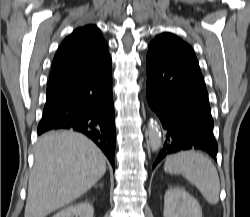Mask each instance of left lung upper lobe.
I'll use <instances>...</instances> for the list:
<instances>
[{
  "label": "left lung upper lobe",
  "instance_id": "1",
  "mask_svg": "<svg viewBox=\"0 0 250 217\" xmlns=\"http://www.w3.org/2000/svg\"><path fill=\"white\" fill-rule=\"evenodd\" d=\"M151 44H160L173 51L183 52L196 57L193 49L186 42L171 33L160 34L151 42Z\"/></svg>",
  "mask_w": 250,
  "mask_h": 217
}]
</instances>
